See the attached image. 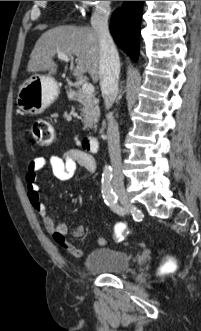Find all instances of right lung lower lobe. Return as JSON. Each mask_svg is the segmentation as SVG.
Masks as SVG:
<instances>
[{
  "mask_svg": "<svg viewBox=\"0 0 201 331\" xmlns=\"http://www.w3.org/2000/svg\"><path fill=\"white\" fill-rule=\"evenodd\" d=\"M143 1H124L121 8L114 11L110 30L116 44L134 61L139 55V34Z\"/></svg>",
  "mask_w": 201,
  "mask_h": 331,
  "instance_id": "obj_1",
  "label": "right lung lower lobe"
}]
</instances>
